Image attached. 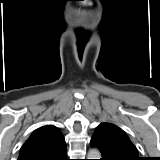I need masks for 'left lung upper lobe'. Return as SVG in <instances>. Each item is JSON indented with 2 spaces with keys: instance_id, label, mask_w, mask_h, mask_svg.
I'll return each instance as SVG.
<instances>
[{
  "instance_id": "left-lung-upper-lobe-1",
  "label": "left lung upper lobe",
  "mask_w": 160,
  "mask_h": 160,
  "mask_svg": "<svg viewBox=\"0 0 160 160\" xmlns=\"http://www.w3.org/2000/svg\"><path fill=\"white\" fill-rule=\"evenodd\" d=\"M92 138H95L107 155L114 160H142L127 134L116 125L100 124Z\"/></svg>"
}]
</instances>
